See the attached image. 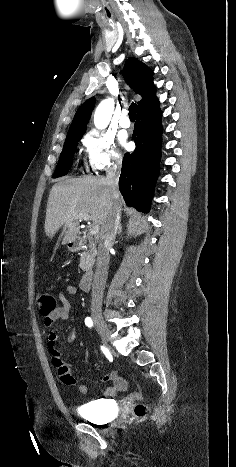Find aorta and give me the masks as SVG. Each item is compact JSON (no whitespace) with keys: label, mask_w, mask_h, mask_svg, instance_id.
<instances>
[{"label":"aorta","mask_w":236,"mask_h":467,"mask_svg":"<svg viewBox=\"0 0 236 467\" xmlns=\"http://www.w3.org/2000/svg\"><path fill=\"white\" fill-rule=\"evenodd\" d=\"M114 111V100L107 98L96 108L94 113V125L97 129H104L108 126Z\"/></svg>","instance_id":"1"}]
</instances>
